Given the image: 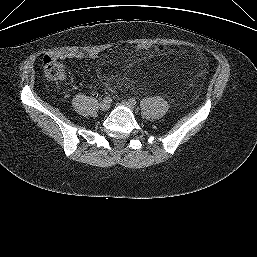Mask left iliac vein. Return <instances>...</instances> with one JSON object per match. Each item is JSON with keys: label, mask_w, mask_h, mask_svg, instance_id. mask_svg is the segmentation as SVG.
Returning <instances> with one entry per match:
<instances>
[{"label": "left iliac vein", "mask_w": 257, "mask_h": 257, "mask_svg": "<svg viewBox=\"0 0 257 257\" xmlns=\"http://www.w3.org/2000/svg\"><path fill=\"white\" fill-rule=\"evenodd\" d=\"M121 104H122V106L127 107L129 109L134 108L133 104H131L129 101H122Z\"/></svg>", "instance_id": "obj_1"}]
</instances>
